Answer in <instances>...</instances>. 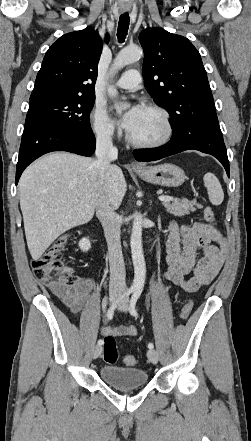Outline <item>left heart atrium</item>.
Masks as SVG:
<instances>
[{
  "label": "left heart atrium",
  "mask_w": 251,
  "mask_h": 441,
  "mask_svg": "<svg viewBox=\"0 0 251 441\" xmlns=\"http://www.w3.org/2000/svg\"><path fill=\"white\" fill-rule=\"evenodd\" d=\"M142 107L135 105L131 107L121 118L120 124L127 131H130L136 124L139 115L142 111Z\"/></svg>",
  "instance_id": "39dd6f15"
}]
</instances>
